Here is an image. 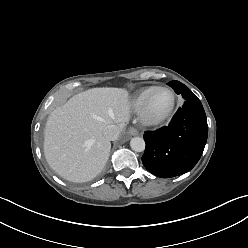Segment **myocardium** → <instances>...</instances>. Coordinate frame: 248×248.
<instances>
[{"label":"myocardium","mask_w":248,"mask_h":248,"mask_svg":"<svg viewBox=\"0 0 248 248\" xmlns=\"http://www.w3.org/2000/svg\"><path fill=\"white\" fill-rule=\"evenodd\" d=\"M157 91H165L170 95V104L169 106L161 113L159 114H153L150 111V101L153 96V94ZM176 106V98L172 90L166 87H154L146 96L139 112L140 120L142 124L146 126H158L162 123H164L166 120L170 118V116L173 114L174 109Z\"/></svg>","instance_id":"myocardium-1"}]
</instances>
